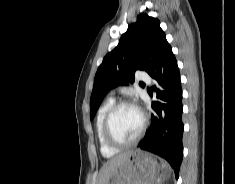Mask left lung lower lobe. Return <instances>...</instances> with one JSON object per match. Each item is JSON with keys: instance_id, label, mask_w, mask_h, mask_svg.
I'll return each mask as SVG.
<instances>
[{"instance_id": "1", "label": "left lung lower lobe", "mask_w": 235, "mask_h": 184, "mask_svg": "<svg viewBox=\"0 0 235 184\" xmlns=\"http://www.w3.org/2000/svg\"><path fill=\"white\" fill-rule=\"evenodd\" d=\"M148 74L156 81L153 90L158 100L152 102L151 126L139 148L166 159L178 178L183 158L182 88L177 61L166 40L159 45Z\"/></svg>"}]
</instances>
